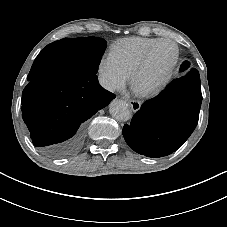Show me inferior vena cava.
<instances>
[{
	"label": "inferior vena cava",
	"mask_w": 227,
	"mask_h": 227,
	"mask_svg": "<svg viewBox=\"0 0 227 227\" xmlns=\"http://www.w3.org/2000/svg\"><path fill=\"white\" fill-rule=\"evenodd\" d=\"M99 83L104 89L110 92L115 90V87L112 85L111 81L104 75H99Z\"/></svg>",
	"instance_id": "1"
}]
</instances>
